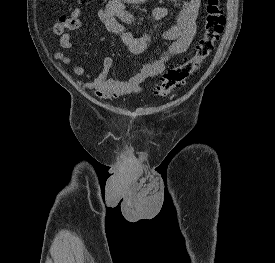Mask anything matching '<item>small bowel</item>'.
I'll return each instance as SVG.
<instances>
[{
	"label": "small bowel",
	"mask_w": 275,
	"mask_h": 263,
	"mask_svg": "<svg viewBox=\"0 0 275 263\" xmlns=\"http://www.w3.org/2000/svg\"><path fill=\"white\" fill-rule=\"evenodd\" d=\"M146 1L109 0L98 10L102 27L118 36L127 50L134 55L146 51L152 41V34L146 30L140 36H135L126 29L125 24L131 25L134 22V15L128 10V6ZM200 6L201 0L182 1L176 23L161 34V39L168 43L167 48L157 59L147 61L125 80L109 77V71L113 66V59L110 56L103 59L102 70L97 73L88 72L82 66L73 64L71 58L64 52H56L54 59L63 72H67L65 66H70L74 75L84 78L81 85L91 90L100 99L111 100L124 94L139 93L145 81L162 74L173 57L187 51L196 34ZM81 13L82 9L77 7L62 13L53 24L51 39L58 38L61 48L71 50L76 47L71 38V32L82 27ZM168 13L166 6L158 5L154 8L151 19L154 22L161 21L168 16Z\"/></svg>",
	"instance_id": "small-bowel-1"
}]
</instances>
